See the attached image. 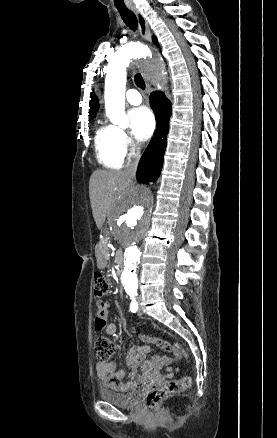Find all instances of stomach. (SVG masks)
I'll return each instance as SVG.
<instances>
[{
    "mask_svg": "<svg viewBox=\"0 0 277 438\" xmlns=\"http://www.w3.org/2000/svg\"><path fill=\"white\" fill-rule=\"evenodd\" d=\"M105 260H104V258L102 257V255L99 253L98 254V266L100 267V268H103V267H105Z\"/></svg>",
    "mask_w": 277,
    "mask_h": 438,
    "instance_id": "obj_1",
    "label": "stomach"
}]
</instances>
